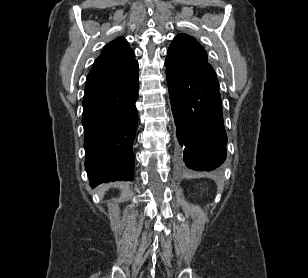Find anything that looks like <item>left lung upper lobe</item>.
I'll return each instance as SVG.
<instances>
[{
    "label": "left lung upper lobe",
    "instance_id": "5c2ea615",
    "mask_svg": "<svg viewBox=\"0 0 308 278\" xmlns=\"http://www.w3.org/2000/svg\"><path fill=\"white\" fill-rule=\"evenodd\" d=\"M207 62V52L197 40L180 33L174 38L167 51L165 65L175 69H190Z\"/></svg>",
    "mask_w": 308,
    "mask_h": 278
}]
</instances>
